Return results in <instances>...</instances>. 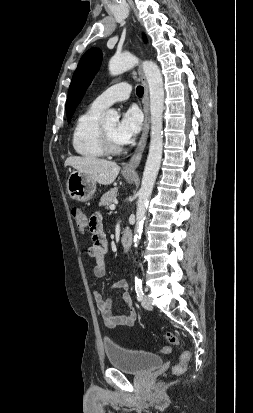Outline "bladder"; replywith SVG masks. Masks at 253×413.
Returning <instances> with one entry per match:
<instances>
[{"instance_id": "bladder-1", "label": "bladder", "mask_w": 253, "mask_h": 413, "mask_svg": "<svg viewBox=\"0 0 253 413\" xmlns=\"http://www.w3.org/2000/svg\"><path fill=\"white\" fill-rule=\"evenodd\" d=\"M104 352L112 367L129 374L142 375L163 364L162 357L155 353L125 348L108 341L104 343Z\"/></svg>"}]
</instances>
